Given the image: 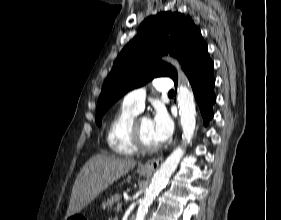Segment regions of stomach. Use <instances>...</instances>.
Here are the masks:
<instances>
[{
	"label": "stomach",
	"mask_w": 281,
	"mask_h": 220,
	"mask_svg": "<svg viewBox=\"0 0 281 220\" xmlns=\"http://www.w3.org/2000/svg\"><path fill=\"white\" fill-rule=\"evenodd\" d=\"M139 173H140V175H142V176H144V177H149V176H151V172H149V171H146L145 169H143V168H141L140 170H139ZM79 216L80 215H71V216H69V217H67L66 218V220H78V219H82V218H79Z\"/></svg>",
	"instance_id": "stomach-1"
}]
</instances>
